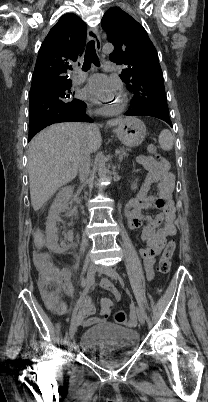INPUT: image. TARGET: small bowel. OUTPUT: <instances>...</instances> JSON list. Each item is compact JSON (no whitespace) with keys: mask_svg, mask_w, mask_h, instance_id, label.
<instances>
[{"mask_svg":"<svg viewBox=\"0 0 208 402\" xmlns=\"http://www.w3.org/2000/svg\"><path fill=\"white\" fill-rule=\"evenodd\" d=\"M138 162L147 170V174L139 188V195L131 200L126 206V217L128 226L132 229H142V241L145 247L140 249V255L144 259V267L148 280L153 278V263L157 253L164 246L167 237L176 234L175 209L172 199L174 188V174L170 170L167 161H161L151 156H141ZM151 185H155V196H147ZM156 210L155 216L148 211ZM42 256H46L43 254ZM63 287L66 292L73 296L72 277L68 270H62ZM101 287L110 292L116 301L121 300V293L116 286L107 278L102 279ZM46 302L58 299V295H43ZM82 301V306L76 309L74 320L79 324L81 330H89L91 324L98 323V316H91L93 307L91 303L77 296ZM112 300L103 298L101 300V317L107 319L110 315Z\"/></svg>","mask_w":208,"mask_h":402,"instance_id":"small-bowel-1","label":"small bowel"}]
</instances>
